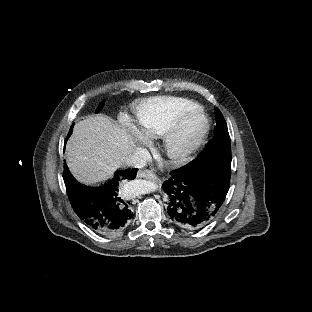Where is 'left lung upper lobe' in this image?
Instances as JSON below:
<instances>
[{
  "label": "left lung upper lobe",
  "instance_id": "left-lung-upper-lobe-1",
  "mask_svg": "<svg viewBox=\"0 0 312 312\" xmlns=\"http://www.w3.org/2000/svg\"><path fill=\"white\" fill-rule=\"evenodd\" d=\"M216 114V128L213 138L209 141L205 151L198 156L194 162H202L206 159H213L221 154L231 156L230 137L226 121L218 108H214Z\"/></svg>",
  "mask_w": 312,
  "mask_h": 312
}]
</instances>
